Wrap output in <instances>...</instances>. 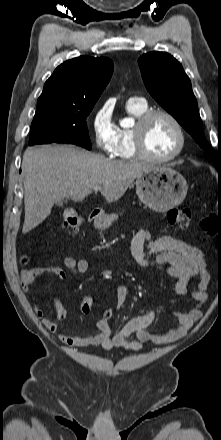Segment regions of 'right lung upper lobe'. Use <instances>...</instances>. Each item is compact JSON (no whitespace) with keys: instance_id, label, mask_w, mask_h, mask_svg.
<instances>
[{"instance_id":"right-lung-upper-lobe-1","label":"right lung upper lobe","mask_w":221,"mask_h":440,"mask_svg":"<svg viewBox=\"0 0 221 440\" xmlns=\"http://www.w3.org/2000/svg\"><path fill=\"white\" fill-rule=\"evenodd\" d=\"M113 73L104 57L80 56L58 66L44 84L38 103L57 101L74 106H94Z\"/></svg>"}]
</instances>
